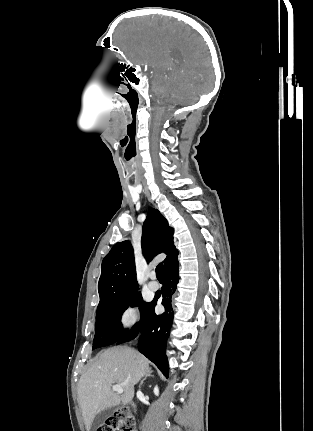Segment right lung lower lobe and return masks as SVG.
I'll return each instance as SVG.
<instances>
[{"instance_id":"obj_1","label":"right lung lower lobe","mask_w":313,"mask_h":431,"mask_svg":"<svg viewBox=\"0 0 313 431\" xmlns=\"http://www.w3.org/2000/svg\"><path fill=\"white\" fill-rule=\"evenodd\" d=\"M178 266L179 263L176 256L166 266L164 286L160 293L155 295L154 300L144 308L141 313L140 322L117 341V344L127 342L141 332L138 350L155 363L166 377H168L169 367L165 354V345L174 315L171 298L179 281ZM160 296L163 297L162 305L165 307V312L157 315L154 312V307Z\"/></svg>"}]
</instances>
